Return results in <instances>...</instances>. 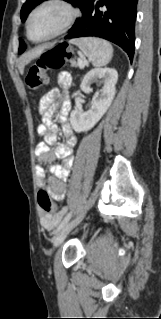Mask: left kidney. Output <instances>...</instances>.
<instances>
[{
  "label": "left kidney",
  "mask_w": 161,
  "mask_h": 319,
  "mask_svg": "<svg viewBox=\"0 0 161 319\" xmlns=\"http://www.w3.org/2000/svg\"><path fill=\"white\" fill-rule=\"evenodd\" d=\"M97 80H99L100 84H103V87L93 97L91 108L86 112L77 109L71 112L70 123L72 128L78 133L86 132L93 128L106 113L114 99L115 85L118 80L117 71L113 68L90 70L82 80L81 90L86 94L91 93V84Z\"/></svg>",
  "instance_id": "left-kidney-1"
}]
</instances>
